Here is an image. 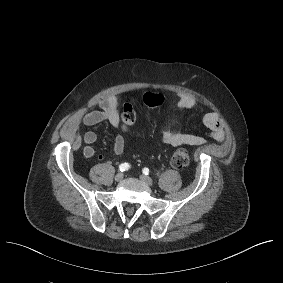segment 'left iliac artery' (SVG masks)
<instances>
[{
  "label": "left iliac artery",
  "instance_id": "44dca946",
  "mask_svg": "<svg viewBox=\"0 0 283 283\" xmlns=\"http://www.w3.org/2000/svg\"><path fill=\"white\" fill-rule=\"evenodd\" d=\"M143 174L148 175L149 174V169L148 168H144L143 169Z\"/></svg>",
  "mask_w": 283,
  "mask_h": 283
}]
</instances>
